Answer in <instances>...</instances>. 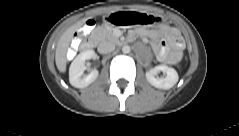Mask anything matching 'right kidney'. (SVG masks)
Here are the masks:
<instances>
[{
	"mask_svg": "<svg viewBox=\"0 0 239 136\" xmlns=\"http://www.w3.org/2000/svg\"><path fill=\"white\" fill-rule=\"evenodd\" d=\"M95 57L93 50H87L78 54L69 68L70 84L76 88H84L90 85L98 77V70L94 69L88 75H84L86 69L85 62Z\"/></svg>",
	"mask_w": 239,
	"mask_h": 136,
	"instance_id": "1",
	"label": "right kidney"
}]
</instances>
